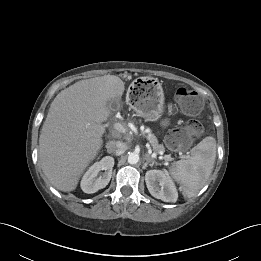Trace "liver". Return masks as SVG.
<instances>
[{
    "label": "liver",
    "instance_id": "6515ba94",
    "mask_svg": "<svg viewBox=\"0 0 261 261\" xmlns=\"http://www.w3.org/2000/svg\"><path fill=\"white\" fill-rule=\"evenodd\" d=\"M124 82L105 75L62 90L50 105L39 137L43 173L58 190L76 189L79 179L103 144L108 100H120Z\"/></svg>",
    "mask_w": 261,
    "mask_h": 261
}]
</instances>
